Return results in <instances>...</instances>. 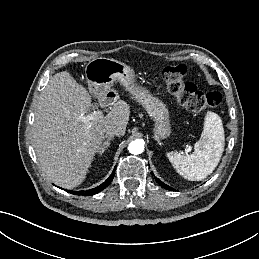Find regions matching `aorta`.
Here are the masks:
<instances>
[{
    "label": "aorta",
    "instance_id": "obj_1",
    "mask_svg": "<svg viewBox=\"0 0 259 259\" xmlns=\"http://www.w3.org/2000/svg\"><path fill=\"white\" fill-rule=\"evenodd\" d=\"M128 150L131 154L138 155L144 151V143L141 140L132 141L128 145Z\"/></svg>",
    "mask_w": 259,
    "mask_h": 259
}]
</instances>
